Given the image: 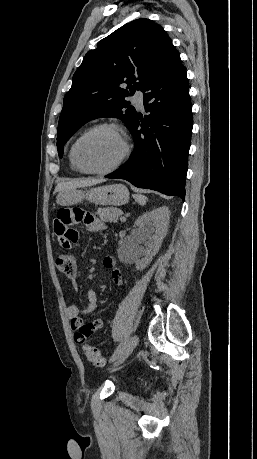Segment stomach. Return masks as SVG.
Instances as JSON below:
<instances>
[{"label": "stomach", "instance_id": "stomach-1", "mask_svg": "<svg viewBox=\"0 0 257 459\" xmlns=\"http://www.w3.org/2000/svg\"><path fill=\"white\" fill-rule=\"evenodd\" d=\"M84 199L96 205L119 206L128 202L129 192L123 184L106 185L91 188L88 191L69 189L58 194L57 203L59 205H74Z\"/></svg>", "mask_w": 257, "mask_h": 459}]
</instances>
